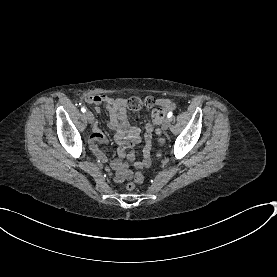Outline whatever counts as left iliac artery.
Listing matches in <instances>:
<instances>
[{"label": "left iliac artery", "mask_w": 277, "mask_h": 277, "mask_svg": "<svg viewBox=\"0 0 277 277\" xmlns=\"http://www.w3.org/2000/svg\"><path fill=\"white\" fill-rule=\"evenodd\" d=\"M172 115H173V113L170 111V112L168 113L167 117H168V118H171Z\"/></svg>", "instance_id": "1"}]
</instances>
